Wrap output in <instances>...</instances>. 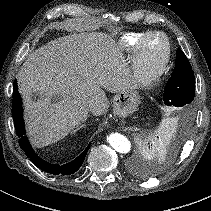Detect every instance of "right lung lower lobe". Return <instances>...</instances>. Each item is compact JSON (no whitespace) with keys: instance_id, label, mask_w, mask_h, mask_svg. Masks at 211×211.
<instances>
[{"instance_id":"right-lung-lower-lobe-1","label":"right lung lower lobe","mask_w":211,"mask_h":211,"mask_svg":"<svg viewBox=\"0 0 211 211\" xmlns=\"http://www.w3.org/2000/svg\"><path fill=\"white\" fill-rule=\"evenodd\" d=\"M12 113L14 118V125L17 132L19 139V144L21 148L24 150L25 154L31 159V161L41 168L42 170L51 173L53 175H70L75 173L82 165L85 156L90 148V144L86 147V149L73 161L64 164L62 166L60 165H54L51 163H48L41 159L35 151L32 149L27 136H25V127H24V121H23V111H22V100L21 96L18 92L17 82L14 81L13 86V100H12Z\"/></svg>"}]
</instances>
